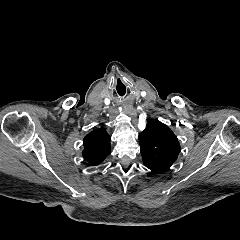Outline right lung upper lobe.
I'll return each instance as SVG.
<instances>
[{
    "instance_id": "cb5924a9",
    "label": "right lung upper lobe",
    "mask_w": 240,
    "mask_h": 240,
    "mask_svg": "<svg viewBox=\"0 0 240 240\" xmlns=\"http://www.w3.org/2000/svg\"><path fill=\"white\" fill-rule=\"evenodd\" d=\"M83 145V157L90 165L101 164L111 152L110 136L103 128L86 135Z\"/></svg>"
}]
</instances>
